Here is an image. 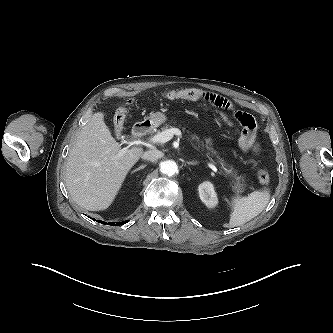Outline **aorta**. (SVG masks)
I'll use <instances>...</instances> for the list:
<instances>
[{"mask_svg": "<svg viewBox=\"0 0 333 333\" xmlns=\"http://www.w3.org/2000/svg\"><path fill=\"white\" fill-rule=\"evenodd\" d=\"M160 171L162 174L173 176L175 173L178 172V166L175 161L167 160L161 163Z\"/></svg>", "mask_w": 333, "mask_h": 333, "instance_id": "aorta-1", "label": "aorta"}]
</instances>
